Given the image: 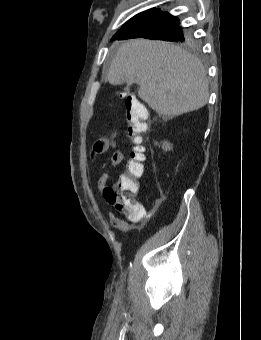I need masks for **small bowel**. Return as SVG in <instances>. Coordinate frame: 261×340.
<instances>
[{
    "instance_id": "c3829d8e",
    "label": "small bowel",
    "mask_w": 261,
    "mask_h": 340,
    "mask_svg": "<svg viewBox=\"0 0 261 340\" xmlns=\"http://www.w3.org/2000/svg\"><path fill=\"white\" fill-rule=\"evenodd\" d=\"M110 146L111 141L109 138L102 137L98 139L92 146L89 153L90 161H94L97 155L106 152L110 148ZM123 158L124 155L121 151L117 150L112 154L109 169L97 181V188L99 193H102L105 190L107 181L110 179L112 171L123 161ZM145 216V210L139 216L126 215V218H119L112 213L108 214L111 224L124 233L136 229L142 219L145 218Z\"/></svg>"
}]
</instances>
